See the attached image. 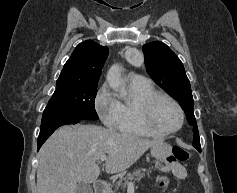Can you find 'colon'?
<instances>
[{
	"mask_svg": "<svg viewBox=\"0 0 237 193\" xmlns=\"http://www.w3.org/2000/svg\"><path fill=\"white\" fill-rule=\"evenodd\" d=\"M189 157L190 152L187 149L181 146H175L172 154L167 159L159 163V168L164 172L171 171L175 165L187 161Z\"/></svg>",
	"mask_w": 237,
	"mask_h": 193,
	"instance_id": "1",
	"label": "colon"
}]
</instances>
